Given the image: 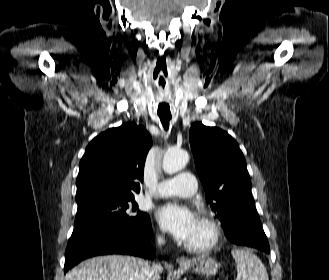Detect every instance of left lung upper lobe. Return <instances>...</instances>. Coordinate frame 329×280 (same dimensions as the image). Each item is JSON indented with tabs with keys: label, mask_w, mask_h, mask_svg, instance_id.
<instances>
[{
	"label": "left lung upper lobe",
	"mask_w": 329,
	"mask_h": 280,
	"mask_svg": "<svg viewBox=\"0 0 329 280\" xmlns=\"http://www.w3.org/2000/svg\"><path fill=\"white\" fill-rule=\"evenodd\" d=\"M189 140L206 200L224 228L238 221L253 202L244 155L228 133L201 122L192 124Z\"/></svg>",
	"instance_id": "obj_1"
}]
</instances>
